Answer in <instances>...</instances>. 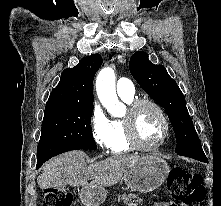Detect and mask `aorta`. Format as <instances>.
Returning <instances> with one entry per match:
<instances>
[{
	"label": "aorta",
	"mask_w": 221,
	"mask_h": 206,
	"mask_svg": "<svg viewBox=\"0 0 221 206\" xmlns=\"http://www.w3.org/2000/svg\"><path fill=\"white\" fill-rule=\"evenodd\" d=\"M96 92L107 111L118 116L124 110V105L118 100L114 70L110 67L102 69L96 78Z\"/></svg>",
	"instance_id": "aorta-1"
}]
</instances>
